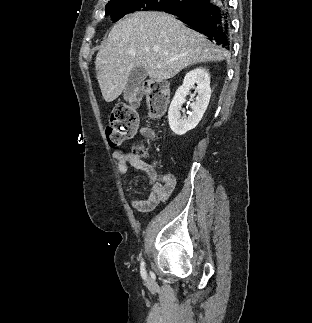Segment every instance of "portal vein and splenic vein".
<instances>
[{
  "instance_id": "portal-vein-and-splenic-vein-1",
  "label": "portal vein and splenic vein",
  "mask_w": 312,
  "mask_h": 323,
  "mask_svg": "<svg viewBox=\"0 0 312 323\" xmlns=\"http://www.w3.org/2000/svg\"><path fill=\"white\" fill-rule=\"evenodd\" d=\"M171 62H174V60H171ZM156 68H162L161 64H157Z\"/></svg>"
}]
</instances>
